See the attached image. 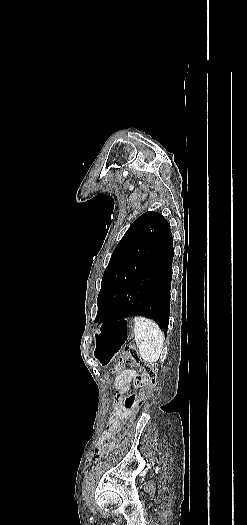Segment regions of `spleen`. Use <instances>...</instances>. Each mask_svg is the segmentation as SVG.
Wrapping results in <instances>:
<instances>
[{
	"mask_svg": "<svg viewBox=\"0 0 247 525\" xmlns=\"http://www.w3.org/2000/svg\"><path fill=\"white\" fill-rule=\"evenodd\" d=\"M134 339L145 363H156L163 349L164 335L157 323L145 317H135Z\"/></svg>",
	"mask_w": 247,
	"mask_h": 525,
	"instance_id": "1",
	"label": "spleen"
}]
</instances>
